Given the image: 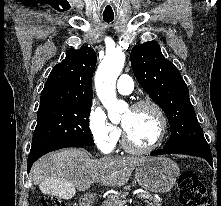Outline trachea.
Returning a JSON list of instances; mask_svg holds the SVG:
<instances>
[{
	"mask_svg": "<svg viewBox=\"0 0 221 206\" xmlns=\"http://www.w3.org/2000/svg\"><path fill=\"white\" fill-rule=\"evenodd\" d=\"M114 19V16H103V20L107 23L112 22Z\"/></svg>",
	"mask_w": 221,
	"mask_h": 206,
	"instance_id": "trachea-1",
	"label": "trachea"
}]
</instances>
